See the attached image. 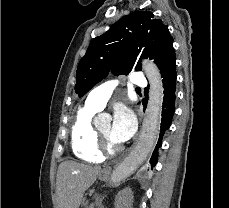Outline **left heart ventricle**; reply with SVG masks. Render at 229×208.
<instances>
[{
  "instance_id": "b2bd125f",
  "label": "left heart ventricle",
  "mask_w": 229,
  "mask_h": 208,
  "mask_svg": "<svg viewBox=\"0 0 229 208\" xmlns=\"http://www.w3.org/2000/svg\"><path fill=\"white\" fill-rule=\"evenodd\" d=\"M111 128L112 126L110 125V123L108 124H105L103 125L102 127H100L98 129V131L100 132V134H102L103 136H105L106 138H108L111 142L117 144V142H115L113 139H112V136H111Z\"/></svg>"
}]
</instances>
